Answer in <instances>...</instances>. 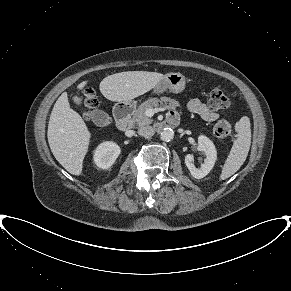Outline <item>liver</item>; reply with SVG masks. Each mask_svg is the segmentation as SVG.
I'll return each instance as SVG.
<instances>
[{"instance_id": "obj_1", "label": "liver", "mask_w": 291, "mask_h": 291, "mask_svg": "<svg viewBox=\"0 0 291 291\" xmlns=\"http://www.w3.org/2000/svg\"><path fill=\"white\" fill-rule=\"evenodd\" d=\"M164 75L157 72L127 71L105 77L100 91L114 102H126L153 89ZM88 81L77 88L83 89ZM48 143L56 160L72 175H80L88 151L91 133L82 117L70 108L67 93L56 101L48 124Z\"/></svg>"}]
</instances>
